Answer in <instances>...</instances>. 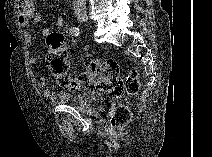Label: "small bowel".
<instances>
[{
	"label": "small bowel",
	"instance_id": "c3829d8e",
	"mask_svg": "<svg viewBox=\"0 0 212 157\" xmlns=\"http://www.w3.org/2000/svg\"><path fill=\"white\" fill-rule=\"evenodd\" d=\"M40 21V14L36 11L35 5L31 1H22L18 5V23L21 27L26 28L31 23H38ZM55 26L58 29L63 28L64 26V18L62 15H59L56 18ZM51 30L50 28H43L42 34L43 36L47 37L50 34ZM25 41L28 45H31L33 43V36L30 32L26 31L24 34ZM82 51H86L87 47H83L81 49ZM36 62L35 57L29 58V63L34 64ZM37 86L39 89L43 91V95L46 98V100L52 104H60L64 103L67 98L68 94L65 92L55 94L47 87V79L45 77H42L38 80Z\"/></svg>",
	"mask_w": 212,
	"mask_h": 157
}]
</instances>
